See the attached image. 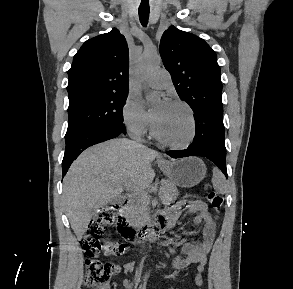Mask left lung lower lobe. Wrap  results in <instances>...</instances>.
Listing matches in <instances>:
<instances>
[{
    "mask_svg": "<svg viewBox=\"0 0 293 289\" xmlns=\"http://www.w3.org/2000/svg\"><path fill=\"white\" fill-rule=\"evenodd\" d=\"M196 134L186 150L168 151L172 158L201 156L215 163L227 177L223 115L202 112L194 116Z\"/></svg>",
    "mask_w": 293,
    "mask_h": 289,
    "instance_id": "left-lung-lower-lobe-1",
    "label": "left lung lower lobe"
}]
</instances>
